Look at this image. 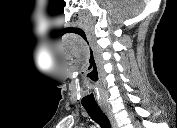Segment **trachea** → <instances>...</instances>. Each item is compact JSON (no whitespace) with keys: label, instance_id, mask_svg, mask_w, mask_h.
Segmentation results:
<instances>
[{"label":"trachea","instance_id":"trachea-1","mask_svg":"<svg viewBox=\"0 0 177 128\" xmlns=\"http://www.w3.org/2000/svg\"><path fill=\"white\" fill-rule=\"evenodd\" d=\"M84 108L91 119L94 120L101 128H111L109 119L99 106H85Z\"/></svg>","mask_w":177,"mask_h":128}]
</instances>
